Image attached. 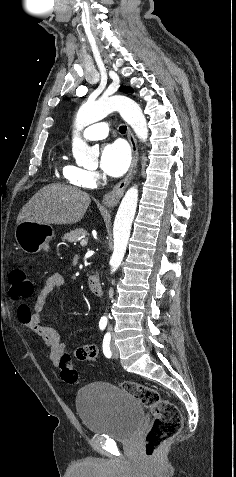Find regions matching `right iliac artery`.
<instances>
[{
    "label": "right iliac artery",
    "instance_id": "obj_1",
    "mask_svg": "<svg viewBox=\"0 0 236 477\" xmlns=\"http://www.w3.org/2000/svg\"><path fill=\"white\" fill-rule=\"evenodd\" d=\"M106 325H107V322H106V321H100V322H99V328H100L101 330H104L105 327H106Z\"/></svg>",
    "mask_w": 236,
    "mask_h": 477
}]
</instances>
